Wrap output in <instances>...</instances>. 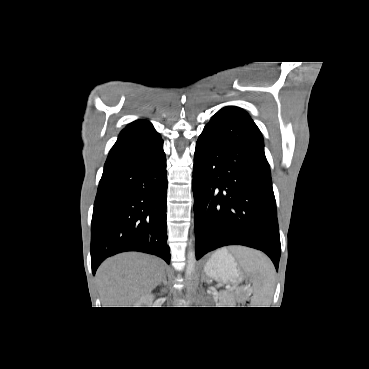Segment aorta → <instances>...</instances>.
Listing matches in <instances>:
<instances>
[{
  "instance_id": "obj_1",
  "label": "aorta",
  "mask_w": 369,
  "mask_h": 369,
  "mask_svg": "<svg viewBox=\"0 0 369 369\" xmlns=\"http://www.w3.org/2000/svg\"><path fill=\"white\" fill-rule=\"evenodd\" d=\"M195 262H196V258H195V251L192 248H189L188 251V261H187V269H186V276H190L191 273L194 270L195 267Z\"/></svg>"
}]
</instances>
